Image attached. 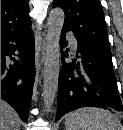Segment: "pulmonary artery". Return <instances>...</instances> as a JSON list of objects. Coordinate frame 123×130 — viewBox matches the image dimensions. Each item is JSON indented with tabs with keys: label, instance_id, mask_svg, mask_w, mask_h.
I'll list each match as a JSON object with an SVG mask.
<instances>
[{
	"label": "pulmonary artery",
	"instance_id": "1",
	"mask_svg": "<svg viewBox=\"0 0 123 130\" xmlns=\"http://www.w3.org/2000/svg\"><path fill=\"white\" fill-rule=\"evenodd\" d=\"M70 43H71V47L74 51H77L78 45H77V41L76 39L72 36V35H68Z\"/></svg>",
	"mask_w": 123,
	"mask_h": 130
}]
</instances>
